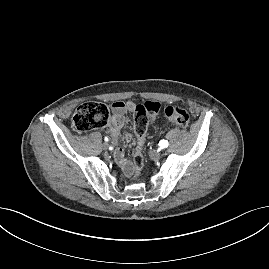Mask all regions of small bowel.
I'll return each mask as SVG.
<instances>
[{
  "instance_id": "c3829d8e",
  "label": "small bowel",
  "mask_w": 269,
  "mask_h": 269,
  "mask_svg": "<svg viewBox=\"0 0 269 269\" xmlns=\"http://www.w3.org/2000/svg\"><path fill=\"white\" fill-rule=\"evenodd\" d=\"M136 104L128 101H116L112 105V118L110 120L108 131L112 137L114 144H117L120 138V131L125 125V113L134 112ZM126 142L132 141V135L130 133L124 134ZM114 158L116 162L121 166L126 176H132L135 173V167L132 162L127 158L126 152L123 148L118 147L114 151Z\"/></svg>"
}]
</instances>
